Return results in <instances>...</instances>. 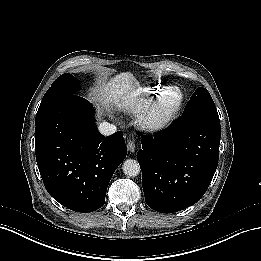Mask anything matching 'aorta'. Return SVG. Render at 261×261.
I'll list each match as a JSON object with an SVG mask.
<instances>
[{
    "instance_id": "1",
    "label": "aorta",
    "mask_w": 261,
    "mask_h": 261,
    "mask_svg": "<svg viewBox=\"0 0 261 261\" xmlns=\"http://www.w3.org/2000/svg\"><path fill=\"white\" fill-rule=\"evenodd\" d=\"M123 173L128 177H136L140 174L141 168L137 160L126 159L122 165Z\"/></svg>"
}]
</instances>
